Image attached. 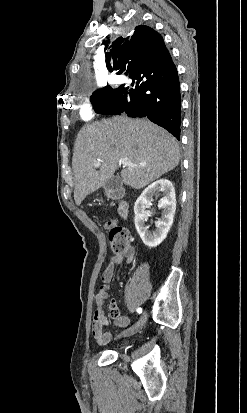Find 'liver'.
<instances>
[{
  "mask_svg": "<svg viewBox=\"0 0 247 413\" xmlns=\"http://www.w3.org/2000/svg\"><path fill=\"white\" fill-rule=\"evenodd\" d=\"M123 158L130 162L121 170L123 184L143 188L175 168L180 152L176 138L148 118L112 116L86 122L76 136L72 158L76 204L103 186ZM95 160H101L100 170H95Z\"/></svg>",
  "mask_w": 247,
  "mask_h": 413,
  "instance_id": "liver-1",
  "label": "liver"
}]
</instances>
